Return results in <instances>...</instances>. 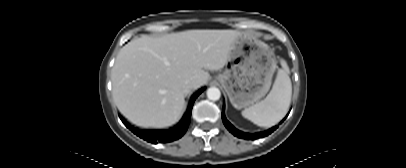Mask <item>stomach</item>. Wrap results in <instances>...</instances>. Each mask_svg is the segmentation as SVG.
Wrapping results in <instances>:
<instances>
[{"label":"stomach","instance_id":"1","mask_svg":"<svg viewBox=\"0 0 406 168\" xmlns=\"http://www.w3.org/2000/svg\"><path fill=\"white\" fill-rule=\"evenodd\" d=\"M276 68L277 62L269 46L241 33L234 42L225 70L216 79L231 104L241 109L267 94Z\"/></svg>","mask_w":406,"mask_h":168}]
</instances>
